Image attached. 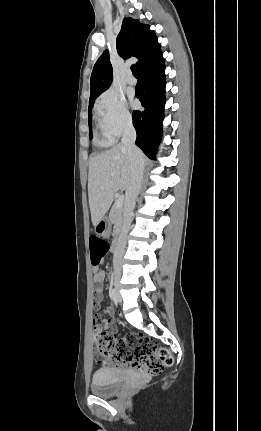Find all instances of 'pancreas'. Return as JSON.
<instances>
[{
  "label": "pancreas",
  "mask_w": 261,
  "mask_h": 431,
  "mask_svg": "<svg viewBox=\"0 0 261 431\" xmlns=\"http://www.w3.org/2000/svg\"><path fill=\"white\" fill-rule=\"evenodd\" d=\"M123 219V207H116L115 204L112 206L109 213V220L111 224H114L115 233H118L121 229Z\"/></svg>",
  "instance_id": "obj_1"
}]
</instances>
